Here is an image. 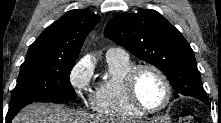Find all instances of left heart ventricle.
<instances>
[{
    "mask_svg": "<svg viewBox=\"0 0 221 123\" xmlns=\"http://www.w3.org/2000/svg\"><path fill=\"white\" fill-rule=\"evenodd\" d=\"M136 92L140 101L149 108L161 105L166 95L163 81L151 70H144L139 74Z\"/></svg>",
    "mask_w": 221,
    "mask_h": 123,
    "instance_id": "left-heart-ventricle-1",
    "label": "left heart ventricle"
}]
</instances>
